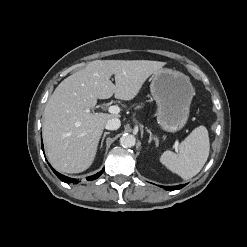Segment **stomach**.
<instances>
[{
	"label": "stomach",
	"mask_w": 247,
	"mask_h": 247,
	"mask_svg": "<svg viewBox=\"0 0 247 247\" xmlns=\"http://www.w3.org/2000/svg\"><path fill=\"white\" fill-rule=\"evenodd\" d=\"M151 94L156 101V117L168 132L181 130L188 118L194 88L188 76L180 71L161 68L152 76Z\"/></svg>",
	"instance_id": "obj_1"
}]
</instances>
